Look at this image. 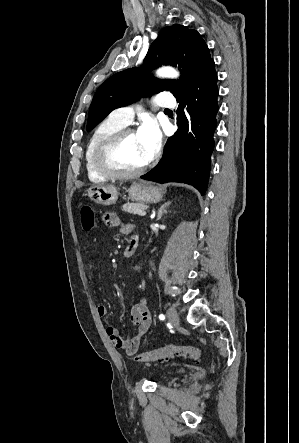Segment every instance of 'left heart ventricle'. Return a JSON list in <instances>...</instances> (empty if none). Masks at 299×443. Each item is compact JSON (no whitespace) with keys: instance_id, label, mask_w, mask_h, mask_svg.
Returning a JSON list of instances; mask_svg holds the SVG:
<instances>
[{"instance_id":"b2bd125f","label":"left heart ventricle","mask_w":299,"mask_h":443,"mask_svg":"<svg viewBox=\"0 0 299 443\" xmlns=\"http://www.w3.org/2000/svg\"><path fill=\"white\" fill-rule=\"evenodd\" d=\"M113 162L122 170H133L147 162L137 133L127 136L113 153Z\"/></svg>"}]
</instances>
